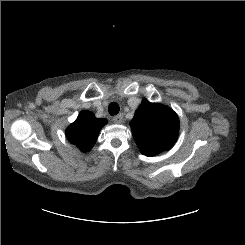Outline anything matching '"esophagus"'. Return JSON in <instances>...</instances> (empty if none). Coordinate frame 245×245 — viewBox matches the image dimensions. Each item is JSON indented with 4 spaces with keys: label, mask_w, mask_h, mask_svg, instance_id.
<instances>
[{
    "label": "esophagus",
    "mask_w": 245,
    "mask_h": 245,
    "mask_svg": "<svg viewBox=\"0 0 245 245\" xmlns=\"http://www.w3.org/2000/svg\"><path fill=\"white\" fill-rule=\"evenodd\" d=\"M123 121H124V118L122 114H118L113 117V122L116 124H121Z\"/></svg>",
    "instance_id": "34e87169"
}]
</instances>
